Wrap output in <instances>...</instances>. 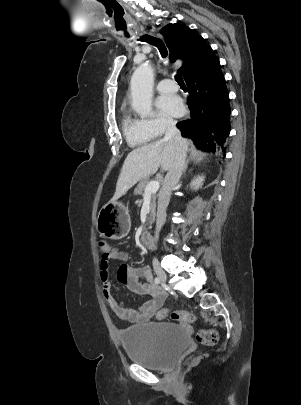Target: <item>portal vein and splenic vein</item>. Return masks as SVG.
Wrapping results in <instances>:
<instances>
[{
  "mask_svg": "<svg viewBox=\"0 0 301 405\" xmlns=\"http://www.w3.org/2000/svg\"><path fill=\"white\" fill-rule=\"evenodd\" d=\"M160 187V183L158 181H150L145 188V195L156 193Z\"/></svg>",
  "mask_w": 301,
  "mask_h": 405,
  "instance_id": "1",
  "label": "portal vein and splenic vein"
}]
</instances>
